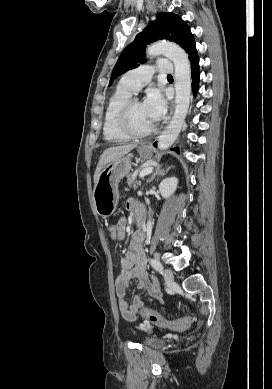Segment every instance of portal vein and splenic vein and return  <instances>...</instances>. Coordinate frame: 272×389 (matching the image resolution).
<instances>
[{
  "mask_svg": "<svg viewBox=\"0 0 272 389\" xmlns=\"http://www.w3.org/2000/svg\"><path fill=\"white\" fill-rule=\"evenodd\" d=\"M152 171H153V167H146V168H144V169L140 172L139 177H140V178H143V177L149 175L150 173H152Z\"/></svg>",
  "mask_w": 272,
  "mask_h": 389,
  "instance_id": "18ae733b",
  "label": "portal vein and splenic vein"
}]
</instances>
